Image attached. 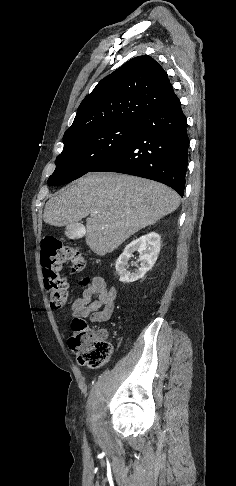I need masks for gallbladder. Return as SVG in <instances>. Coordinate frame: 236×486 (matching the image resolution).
I'll return each mask as SVG.
<instances>
[{
	"mask_svg": "<svg viewBox=\"0 0 236 486\" xmlns=\"http://www.w3.org/2000/svg\"><path fill=\"white\" fill-rule=\"evenodd\" d=\"M84 227L81 223H71L66 226L65 234L70 239H78L83 236Z\"/></svg>",
	"mask_w": 236,
	"mask_h": 486,
	"instance_id": "obj_1",
	"label": "gallbladder"
}]
</instances>
